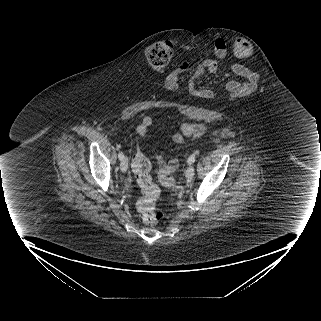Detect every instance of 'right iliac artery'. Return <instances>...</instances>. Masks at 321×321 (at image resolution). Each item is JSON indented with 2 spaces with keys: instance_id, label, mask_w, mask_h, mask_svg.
<instances>
[{
  "instance_id": "obj_1",
  "label": "right iliac artery",
  "mask_w": 321,
  "mask_h": 321,
  "mask_svg": "<svg viewBox=\"0 0 321 321\" xmlns=\"http://www.w3.org/2000/svg\"><path fill=\"white\" fill-rule=\"evenodd\" d=\"M118 158H119V160H123L124 155H123V153H122V152H119V154H118Z\"/></svg>"
}]
</instances>
